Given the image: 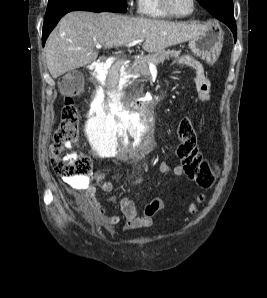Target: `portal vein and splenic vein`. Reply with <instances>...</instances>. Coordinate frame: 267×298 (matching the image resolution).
I'll use <instances>...</instances> for the list:
<instances>
[{
  "mask_svg": "<svg viewBox=\"0 0 267 298\" xmlns=\"http://www.w3.org/2000/svg\"><path fill=\"white\" fill-rule=\"evenodd\" d=\"M142 41H143L142 39L134 40V41L126 44V46L131 47V46H134V45H136L138 43H141ZM96 48L97 49H100L101 48V45H96ZM148 64H149V68L150 69H156V65L153 64L152 62H149Z\"/></svg>",
  "mask_w": 267,
  "mask_h": 298,
  "instance_id": "18ae733b",
  "label": "portal vein and splenic vein"
}]
</instances>
